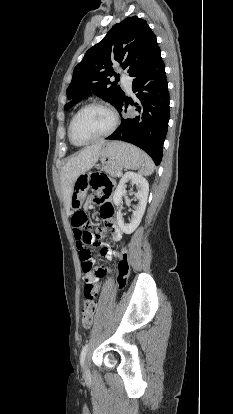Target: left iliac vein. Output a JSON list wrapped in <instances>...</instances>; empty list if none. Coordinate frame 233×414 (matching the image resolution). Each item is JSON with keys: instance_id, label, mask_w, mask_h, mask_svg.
Returning a JSON list of instances; mask_svg holds the SVG:
<instances>
[{"instance_id": "4c4485c4", "label": "left iliac vein", "mask_w": 233, "mask_h": 414, "mask_svg": "<svg viewBox=\"0 0 233 414\" xmlns=\"http://www.w3.org/2000/svg\"><path fill=\"white\" fill-rule=\"evenodd\" d=\"M88 372H89V370H88L87 364L85 363V365H84V373L87 374Z\"/></svg>"}]
</instances>
